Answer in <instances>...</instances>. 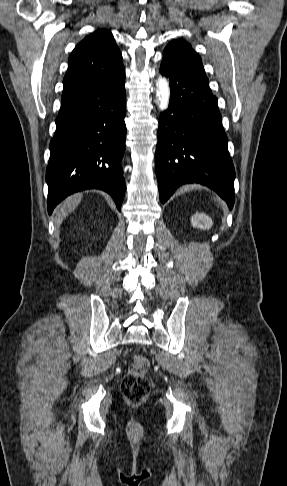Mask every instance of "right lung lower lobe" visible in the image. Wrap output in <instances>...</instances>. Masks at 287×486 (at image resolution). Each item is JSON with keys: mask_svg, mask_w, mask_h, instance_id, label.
<instances>
[{"mask_svg": "<svg viewBox=\"0 0 287 486\" xmlns=\"http://www.w3.org/2000/svg\"><path fill=\"white\" fill-rule=\"evenodd\" d=\"M125 77L61 103L46 170L49 214L85 189L109 193L120 211L125 194Z\"/></svg>", "mask_w": 287, "mask_h": 486, "instance_id": "98d812e1", "label": "right lung lower lobe"}]
</instances>
